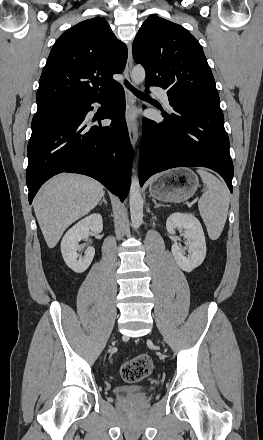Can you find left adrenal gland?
<instances>
[{
  "instance_id": "left-adrenal-gland-1",
  "label": "left adrenal gland",
  "mask_w": 263,
  "mask_h": 440,
  "mask_svg": "<svg viewBox=\"0 0 263 440\" xmlns=\"http://www.w3.org/2000/svg\"><path fill=\"white\" fill-rule=\"evenodd\" d=\"M152 201L154 202V205H155L154 207H155V208H158V207H166V205L158 204V203L156 202L155 199H153Z\"/></svg>"
}]
</instances>
